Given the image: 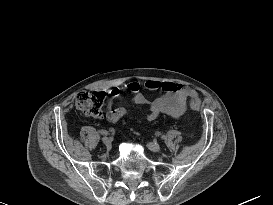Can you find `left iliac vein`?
Segmentation results:
<instances>
[{"label": "left iliac vein", "mask_w": 273, "mask_h": 205, "mask_svg": "<svg viewBox=\"0 0 273 205\" xmlns=\"http://www.w3.org/2000/svg\"><path fill=\"white\" fill-rule=\"evenodd\" d=\"M148 148L153 152H158L161 150V146L156 142H149Z\"/></svg>", "instance_id": "left-iliac-vein-1"}]
</instances>
